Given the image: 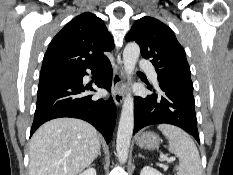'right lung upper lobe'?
Segmentation results:
<instances>
[{
  "label": "right lung upper lobe",
  "mask_w": 233,
  "mask_h": 175,
  "mask_svg": "<svg viewBox=\"0 0 233 175\" xmlns=\"http://www.w3.org/2000/svg\"><path fill=\"white\" fill-rule=\"evenodd\" d=\"M114 42L104 22L92 13H82L53 38L45 53L40 79L70 76L107 57Z\"/></svg>",
  "instance_id": "right-lung-upper-lobe-1"
}]
</instances>
